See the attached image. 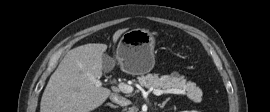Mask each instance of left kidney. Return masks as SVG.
Listing matches in <instances>:
<instances>
[{"label":"left kidney","mask_w":270,"mask_h":112,"mask_svg":"<svg viewBox=\"0 0 270 112\" xmlns=\"http://www.w3.org/2000/svg\"><path fill=\"white\" fill-rule=\"evenodd\" d=\"M182 112H197V111H182Z\"/></svg>","instance_id":"left-kidney-1"}]
</instances>
